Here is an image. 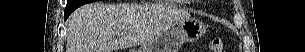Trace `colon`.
I'll return each instance as SVG.
<instances>
[{
  "mask_svg": "<svg viewBox=\"0 0 305 52\" xmlns=\"http://www.w3.org/2000/svg\"><path fill=\"white\" fill-rule=\"evenodd\" d=\"M211 52H224V44L222 40L216 38L213 39L209 44Z\"/></svg>",
  "mask_w": 305,
  "mask_h": 52,
  "instance_id": "1",
  "label": "colon"
}]
</instances>
